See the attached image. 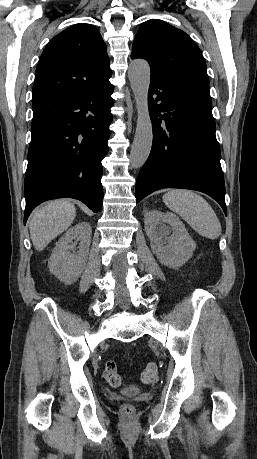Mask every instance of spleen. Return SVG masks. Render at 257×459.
Listing matches in <instances>:
<instances>
[{"mask_svg":"<svg viewBox=\"0 0 257 459\" xmlns=\"http://www.w3.org/2000/svg\"><path fill=\"white\" fill-rule=\"evenodd\" d=\"M165 205L181 216L198 234L217 239L221 224L210 204L191 190L174 189L163 195Z\"/></svg>","mask_w":257,"mask_h":459,"instance_id":"1","label":"spleen"}]
</instances>
